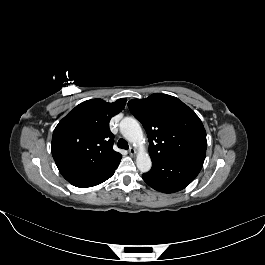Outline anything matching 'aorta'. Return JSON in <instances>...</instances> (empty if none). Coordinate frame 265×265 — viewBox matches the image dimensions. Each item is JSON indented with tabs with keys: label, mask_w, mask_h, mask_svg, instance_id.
Returning a JSON list of instances; mask_svg holds the SVG:
<instances>
[{
	"label": "aorta",
	"mask_w": 265,
	"mask_h": 265,
	"mask_svg": "<svg viewBox=\"0 0 265 265\" xmlns=\"http://www.w3.org/2000/svg\"><path fill=\"white\" fill-rule=\"evenodd\" d=\"M120 132L129 142L139 146V152L136 158L137 168L143 173L150 171L152 161L143 147L145 138L138 121L131 117L122 119L120 122Z\"/></svg>",
	"instance_id": "1"
}]
</instances>
